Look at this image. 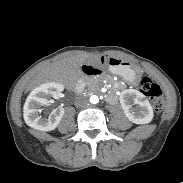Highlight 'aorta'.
I'll return each mask as SVG.
<instances>
[{"label":"aorta","mask_w":183,"mask_h":183,"mask_svg":"<svg viewBox=\"0 0 183 183\" xmlns=\"http://www.w3.org/2000/svg\"><path fill=\"white\" fill-rule=\"evenodd\" d=\"M90 102H91L92 104H97V103L99 102L98 96L92 95V96L90 97Z\"/></svg>","instance_id":"aorta-1"}]
</instances>
